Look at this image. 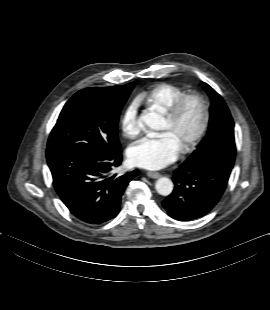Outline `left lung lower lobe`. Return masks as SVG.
<instances>
[{"instance_id":"0a47b994","label":"left lung lower lobe","mask_w":270,"mask_h":310,"mask_svg":"<svg viewBox=\"0 0 270 310\" xmlns=\"http://www.w3.org/2000/svg\"><path fill=\"white\" fill-rule=\"evenodd\" d=\"M231 171L202 163L184 162L174 171L173 192L162 202L168 214L180 221L203 217L220 200Z\"/></svg>"}]
</instances>
